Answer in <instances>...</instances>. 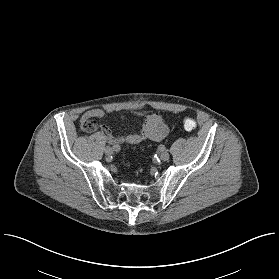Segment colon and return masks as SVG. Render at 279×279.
<instances>
[{"label": "colon", "instance_id": "colon-1", "mask_svg": "<svg viewBox=\"0 0 279 279\" xmlns=\"http://www.w3.org/2000/svg\"><path fill=\"white\" fill-rule=\"evenodd\" d=\"M182 124H183V127L186 131H192L197 126L196 121L193 118L188 117V116L183 118ZM82 129L86 132H91L92 131V127L90 126L89 123L83 124Z\"/></svg>", "mask_w": 279, "mask_h": 279}]
</instances>
